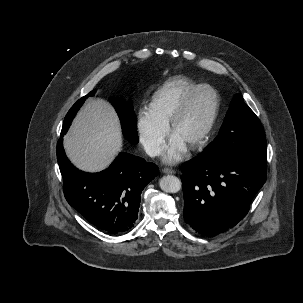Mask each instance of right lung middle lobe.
<instances>
[{
	"label": "right lung middle lobe",
	"instance_id": "right-lung-middle-lobe-1",
	"mask_svg": "<svg viewBox=\"0 0 303 303\" xmlns=\"http://www.w3.org/2000/svg\"><path fill=\"white\" fill-rule=\"evenodd\" d=\"M95 91H91L89 94L86 96L82 97L79 99L68 111L63 127H62V134H65L71 124V121L75 117L77 111L79 108L82 106L84 103L85 99L88 96H92ZM112 104L114 105L120 121H121V126H122V132L124 137L131 143V144H136L138 143V135H137V127L135 123V118H134V112H133V106L130 102H127L125 100L119 99H112L111 100Z\"/></svg>",
	"mask_w": 303,
	"mask_h": 303
}]
</instances>
